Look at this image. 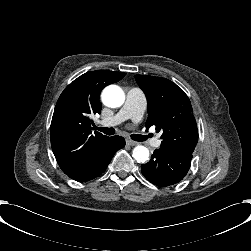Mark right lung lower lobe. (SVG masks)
Masks as SVG:
<instances>
[{
    "instance_id": "1",
    "label": "right lung lower lobe",
    "mask_w": 251,
    "mask_h": 251,
    "mask_svg": "<svg viewBox=\"0 0 251 251\" xmlns=\"http://www.w3.org/2000/svg\"><path fill=\"white\" fill-rule=\"evenodd\" d=\"M124 146L125 139L123 137H110L108 142L97 152L94 159L67 175L78 182H87L96 178L106 170L114 154Z\"/></svg>"
}]
</instances>
